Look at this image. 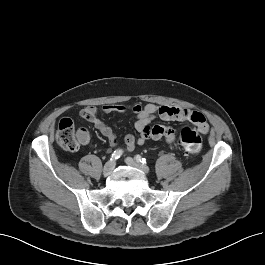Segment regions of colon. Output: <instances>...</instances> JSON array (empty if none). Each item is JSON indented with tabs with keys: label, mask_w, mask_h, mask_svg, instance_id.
Listing matches in <instances>:
<instances>
[{
	"label": "colon",
	"mask_w": 265,
	"mask_h": 265,
	"mask_svg": "<svg viewBox=\"0 0 265 265\" xmlns=\"http://www.w3.org/2000/svg\"><path fill=\"white\" fill-rule=\"evenodd\" d=\"M58 145L66 151H77L80 147L78 131L69 118L60 120L56 132ZM180 143L183 149L189 154H198L202 148V137L194 128L184 127L180 133Z\"/></svg>",
	"instance_id": "1"
}]
</instances>
